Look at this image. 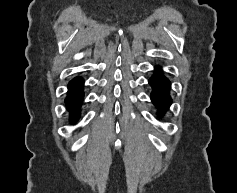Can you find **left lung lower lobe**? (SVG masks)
<instances>
[{
  "instance_id": "0a47b994",
  "label": "left lung lower lobe",
  "mask_w": 237,
  "mask_h": 193,
  "mask_svg": "<svg viewBox=\"0 0 237 193\" xmlns=\"http://www.w3.org/2000/svg\"><path fill=\"white\" fill-rule=\"evenodd\" d=\"M149 84L153 88L151 100L158 108L159 115L161 116L172 102L169 95L170 82L161 74L160 68L156 67V73L149 79Z\"/></svg>"
}]
</instances>
